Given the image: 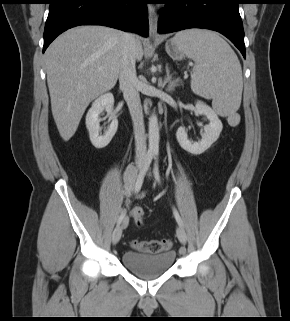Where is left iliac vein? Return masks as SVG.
<instances>
[{
  "label": "left iliac vein",
  "mask_w": 290,
  "mask_h": 321,
  "mask_svg": "<svg viewBox=\"0 0 290 321\" xmlns=\"http://www.w3.org/2000/svg\"><path fill=\"white\" fill-rule=\"evenodd\" d=\"M176 235L182 244H185L187 242V236H186L185 230L181 226L177 227Z\"/></svg>",
  "instance_id": "obj_1"
}]
</instances>
